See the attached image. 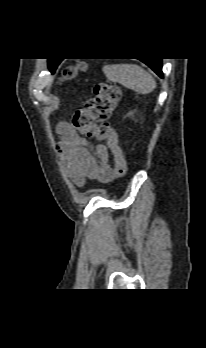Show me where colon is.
I'll return each mask as SVG.
<instances>
[{
    "label": "colon",
    "instance_id": "colon-1",
    "mask_svg": "<svg viewBox=\"0 0 206 348\" xmlns=\"http://www.w3.org/2000/svg\"><path fill=\"white\" fill-rule=\"evenodd\" d=\"M85 67V63L67 65L61 73V78L63 80L72 79L79 70H83ZM120 96L119 87L107 82L98 83L94 88L93 96L86 101L84 107L73 113L71 124L78 132L106 142L114 156L115 173L121 177L127 173L128 165L120 147L118 135L109 123Z\"/></svg>",
    "mask_w": 206,
    "mask_h": 348
}]
</instances>
